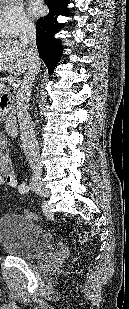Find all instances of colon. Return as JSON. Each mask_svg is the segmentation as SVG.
Segmentation results:
<instances>
[{"instance_id":"5ec220e1","label":"colon","mask_w":129,"mask_h":309,"mask_svg":"<svg viewBox=\"0 0 129 309\" xmlns=\"http://www.w3.org/2000/svg\"><path fill=\"white\" fill-rule=\"evenodd\" d=\"M24 215L27 216L29 219H32V220H36L37 219V215L31 211H28V210H25L24 212ZM87 240V235L85 233H82L80 235V241L82 243L86 242Z\"/></svg>"}]
</instances>
